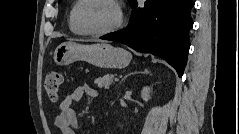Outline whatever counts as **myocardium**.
<instances>
[{"label":"myocardium","mask_w":239,"mask_h":134,"mask_svg":"<svg viewBox=\"0 0 239 134\" xmlns=\"http://www.w3.org/2000/svg\"><path fill=\"white\" fill-rule=\"evenodd\" d=\"M94 0H82L81 3L78 6V9L76 11V23L78 25V27L80 28V30L86 34V35H90V36H104V35H108L111 34L115 31H117L123 24L124 21V16H123V12L122 9L119 5V3L115 0H105L110 2L116 9L117 11V20L116 22L109 28L104 29V30H91L89 28H87V26L85 25L84 21H83V11L84 8L86 7V5Z\"/></svg>","instance_id":"f54148a6"}]
</instances>
